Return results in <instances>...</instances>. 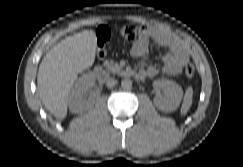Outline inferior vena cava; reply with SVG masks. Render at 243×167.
<instances>
[{"instance_id":"obj_1","label":"inferior vena cava","mask_w":243,"mask_h":167,"mask_svg":"<svg viewBox=\"0 0 243 167\" xmlns=\"http://www.w3.org/2000/svg\"><path fill=\"white\" fill-rule=\"evenodd\" d=\"M117 84V80L114 78H110L107 80L106 85L107 87H113Z\"/></svg>"}]
</instances>
